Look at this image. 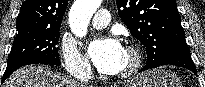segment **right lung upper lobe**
I'll use <instances>...</instances> for the list:
<instances>
[{
	"instance_id": "obj_1",
	"label": "right lung upper lobe",
	"mask_w": 205,
	"mask_h": 87,
	"mask_svg": "<svg viewBox=\"0 0 205 87\" xmlns=\"http://www.w3.org/2000/svg\"><path fill=\"white\" fill-rule=\"evenodd\" d=\"M68 0H26L17 18L18 31L60 29Z\"/></svg>"
}]
</instances>
